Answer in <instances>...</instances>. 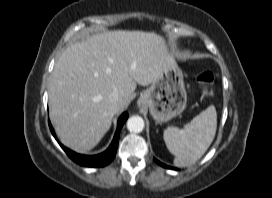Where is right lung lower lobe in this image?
I'll use <instances>...</instances> for the list:
<instances>
[{"instance_id":"98d812e1","label":"right lung lower lobe","mask_w":272,"mask_h":198,"mask_svg":"<svg viewBox=\"0 0 272 198\" xmlns=\"http://www.w3.org/2000/svg\"><path fill=\"white\" fill-rule=\"evenodd\" d=\"M127 118H128V114L126 112L120 116V118L118 120L117 130H116V133H115V136H114V139H113L111 145L109 146V148L105 152H103L99 155H94V156L80 155V154H77V153L69 150L68 148L64 147L61 143H59V144L62 147V149L66 152V154L74 162H76L79 165L87 166V167L106 166L114 159V157L116 155L119 134H120L121 128H122L123 124L125 123V121L127 120ZM49 127H50V130H51L53 136L56 138V135H55L54 130H53L50 123H49Z\"/></svg>"}]
</instances>
